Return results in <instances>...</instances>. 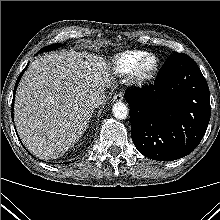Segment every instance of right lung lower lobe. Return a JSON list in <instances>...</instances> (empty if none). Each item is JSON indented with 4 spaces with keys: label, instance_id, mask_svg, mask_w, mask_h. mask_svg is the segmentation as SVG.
I'll return each mask as SVG.
<instances>
[{
    "label": "right lung lower lobe",
    "instance_id": "obj_1",
    "mask_svg": "<svg viewBox=\"0 0 220 220\" xmlns=\"http://www.w3.org/2000/svg\"><path fill=\"white\" fill-rule=\"evenodd\" d=\"M26 68H27V66L25 67V69H26ZM25 69H24V70H25ZM24 70L21 72L20 76L18 77L17 82H16V85H15V88H14V95H13V101H12V110H13V106H14V98H15L16 88H17V85H18V83H19V81H20V78H21V76H22ZM12 120L14 121L13 113H12Z\"/></svg>",
    "mask_w": 220,
    "mask_h": 220
}]
</instances>
